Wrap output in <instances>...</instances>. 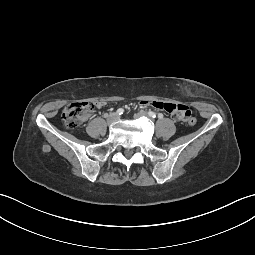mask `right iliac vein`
Returning a JSON list of instances; mask_svg holds the SVG:
<instances>
[{
    "mask_svg": "<svg viewBox=\"0 0 255 255\" xmlns=\"http://www.w3.org/2000/svg\"><path fill=\"white\" fill-rule=\"evenodd\" d=\"M119 119V115L117 113H111L107 118L108 125L114 124Z\"/></svg>",
    "mask_w": 255,
    "mask_h": 255,
    "instance_id": "1",
    "label": "right iliac vein"
}]
</instances>
